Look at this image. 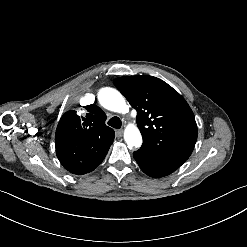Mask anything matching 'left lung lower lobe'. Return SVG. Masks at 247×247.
<instances>
[{
  "label": "left lung lower lobe",
  "instance_id": "0a47b994",
  "mask_svg": "<svg viewBox=\"0 0 247 247\" xmlns=\"http://www.w3.org/2000/svg\"><path fill=\"white\" fill-rule=\"evenodd\" d=\"M141 170L150 177L160 178L167 176L178 169L181 164L156 155L145 148H140L133 153Z\"/></svg>",
  "mask_w": 247,
  "mask_h": 247
}]
</instances>
